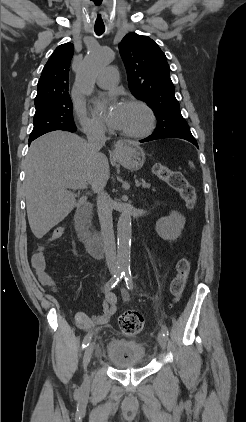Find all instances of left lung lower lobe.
Segmentation results:
<instances>
[{
  "label": "left lung lower lobe",
  "instance_id": "1",
  "mask_svg": "<svg viewBox=\"0 0 246 422\" xmlns=\"http://www.w3.org/2000/svg\"><path fill=\"white\" fill-rule=\"evenodd\" d=\"M162 138H181L185 139L191 143H193L197 148L198 144L191 134V132H175V133H159V134H152L149 137L140 140V142H148L156 139H162Z\"/></svg>",
  "mask_w": 246,
  "mask_h": 422
}]
</instances>
